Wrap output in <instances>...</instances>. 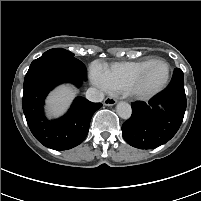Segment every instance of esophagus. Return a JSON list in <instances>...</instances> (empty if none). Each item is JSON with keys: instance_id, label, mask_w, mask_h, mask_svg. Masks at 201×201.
Returning <instances> with one entry per match:
<instances>
[{"instance_id": "1", "label": "esophagus", "mask_w": 201, "mask_h": 201, "mask_svg": "<svg viewBox=\"0 0 201 201\" xmlns=\"http://www.w3.org/2000/svg\"><path fill=\"white\" fill-rule=\"evenodd\" d=\"M116 102H117L116 99H114V98H112V97H107V98H105L103 104H104L105 106H113V105L116 104Z\"/></svg>"}]
</instances>
